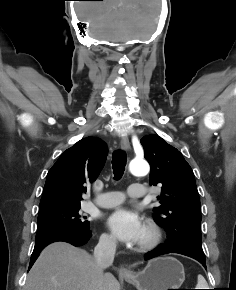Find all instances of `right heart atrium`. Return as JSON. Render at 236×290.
Instances as JSON below:
<instances>
[{
  "mask_svg": "<svg viewBox=\"0 0 236 290\" xmlns=\"http://www.w3.org/2000/svg\"><path fill=\"white\" fill-rule=\"evenodd\" d=\"M100 243L104 247L111 248V247H114L116 245V240L112 235L104 233L100 237Z\"/></svg>",
  "mask_w": 236,
  "mask_h": 290,
  "instance_id": "1",
  "label": "right heart atrium"
}]
</instances>
